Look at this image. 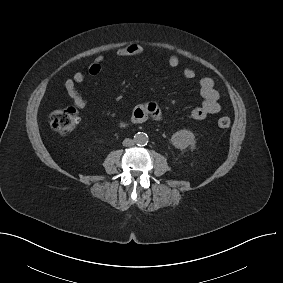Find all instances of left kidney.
<instances>
[{
  "label": "left kidney",
  "mask_w": 283,
  "mask_h": 283,
  "mask_svg": "<svg viewBox=\"0 0 283 283\" xmlns=\"http://www.w3.org/2000/svg\"><path fill=\"white\" fill-rule=\"evenodd\" d=\"M171 143L175 148L183 150L195 144V136L191 131L180 130L172 135Z\"/></svg>",
  "instance_id": "1"
}]
</instances>
